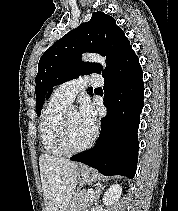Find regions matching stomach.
Masks as SVG:
<instances>
[{
  "label": "stomach",
  "instance_id": "0dacf381",
  "mask_svg": "<svg viewBox=\"0 0 178 211\" xmlns=\"http://www.w3.org/2000/svg\"><path fill=\"white\" fill-rule=\"evenodd\" d=\"M79 180L83 184H92L97 180V173L93 169L83 166L79 171Z\"/></svg>",
  "mask_w": 178,
  "mask_h": 211
}]
</instances>
